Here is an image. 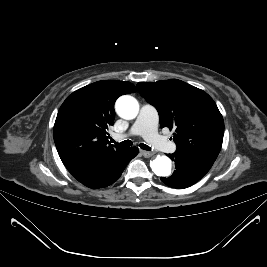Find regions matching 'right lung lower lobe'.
Segmentation results:
<instances>
[{
	"mask_svg": "<svg viewBox=\"0 0 267 267\" xmlns=\"http://www.w3.org/2000/svg\"><path fill=\"white\" fill-rule=\"evenodd\" d=\"M138 152L139 150L137 147H131L113 156L104 158L84 177L78 179V181L92 189L107 187L120 177L128 162L133 159Z\"/></svg>",
	"mask_w": 267,
	"mask_h": 267,
	"instance_id": "right-lung-lower-lobe-1",
	"label": "right lung lower lobe"
}]
</instances>
